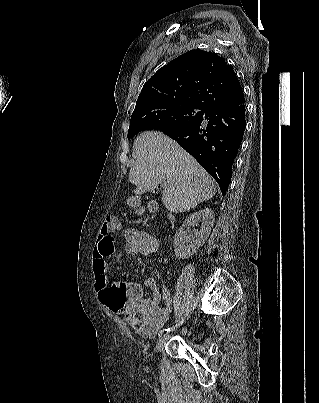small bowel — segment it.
<instances>
[{"label":"small bowel","instance_id":"small-bowel-1","mask_svg":"<svg viewBox=\"0 0 319 403\" xmlns=\"http://www.w3.org/2000/svg\"><path fill=\"white\" fill-rule=\"evenodd\" d=\"M103 222L99 225V237L92 258L94 286L99 293L101 307L118 315L122 324H129L132 335L152 339L166 324L172 311L169 292L164 286L160 287L153 276L144 278L142 285H134V281L128 279H110L107 283V257L119 253L117 238L121 224L117 223L115 213H106ZM144 286L151 290V298H142ZM161 300L164 301L162 306L159 305Z\"/></svg>","mask_w":319,"mask_h":403}]
</instances>
